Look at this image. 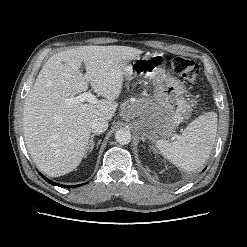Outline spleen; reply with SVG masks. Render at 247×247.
I'll return each instance as SVG.
<instances>
[{"instance_id":"obj_1","label":"spleen","mask_w":247,"mask_h":247,"mask_svg":"<svg viewBox=\"0 0 247 247\" xmlns=\"http://www.w3.org/2000/svg\"><path fill=\"white\" fill-rule=\"evenodd\" d=\"M217 114L207 112L194 119L173 142L157 140L160 153L185 171H194L206 162L215 144Z\"/></svg>"}]
</instances>
